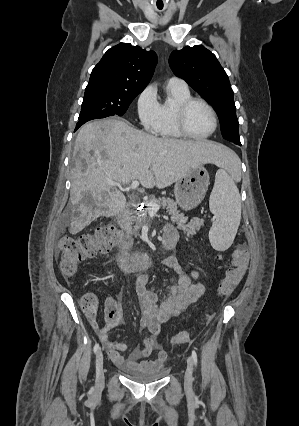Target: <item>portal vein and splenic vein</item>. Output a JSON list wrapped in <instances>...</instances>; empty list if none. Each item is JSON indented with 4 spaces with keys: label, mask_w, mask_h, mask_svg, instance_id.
Instances as JSON below:
<instances>
[{
    "label": "portal vein and splenic vein",
    "mask_w": 299,
    "mask_h": 426,
    "mask_svg": "<svg viewBox=\"0 0 299 426\" xmlns=\"http://www.w3.org/2000/svg\"><path fill=\"white\" fill-rule=\"evenodd\" d=\"M109 183H110L111 185H113V186H120V184H119V183H117V182H112V181H110ZM138 186H139V181L135 180V181H132V183H131V185H130L129 187H130L132 190H136ZM160 206H161V205L156 204V203H148V204H147L148 211H149V213H150V214H156V213H157V211L160 209Z\"/></svg>",
    "instance_id": "18ae733b"
}]
</instances>
